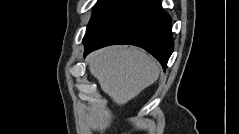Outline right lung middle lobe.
Segmentation results:
<instances>
[{"instance_id": "right-lung-middle-lobe-1", "label": "right lung middle lobe", "mask_w": 239, "mask_h": 134, "mask_svg": "<svg viewBox=\"0 0 239 134\" xmlns=\"http://www.w3.org/2000/svg\"><path fill=\"white\" fill-rule=\"evenodd\" d=\"M125 2L126 0H98L94 7L93 15L89 21L84 38L90 36L104 20H106Z\"/></svg>"}]
</instances>
